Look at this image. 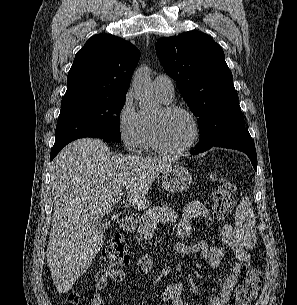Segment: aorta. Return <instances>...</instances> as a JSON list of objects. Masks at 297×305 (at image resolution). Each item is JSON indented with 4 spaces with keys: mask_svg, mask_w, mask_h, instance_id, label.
Segmentation results:
<instances>
[{
    "mask_svg": "<svg viewBox=\"0 0 297 305\" xmlns=\"http://www.w3.org/2000/svg\"><path fill=\"white\" fill-rule=\"evenodd\" d=\"M132 86L140 109L143 111H154L157 108V103L152 89L148 67L141 66L135 71Z\"/></svg>",
    "mask_w": 297,
    "mask_h": 305,
    "instance_id": "aorta-1",
    "label": "aorta"
}]
</instances>
